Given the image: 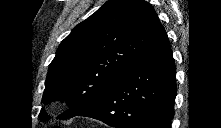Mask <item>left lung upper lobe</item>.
<instances>
[{
    "label": "left lung upper lobe",
    "mask_w": 221,
    "mask_h": 128,
    "mask_svg": "<svg viewBox=\"0 0 221 128\" xmlns=\"http://www.w3.org/2000/svg\"><path fill=\"white\" fill-rule=\"evenodd\" d=\"M144 0H109L61 42L51 62L44 104L64 100L68 119L100 101L164 32ZM40 119L50 116L41 110Z\"/></svg>",
    "instance_id": "5c2ea615"
}]
</instances>
